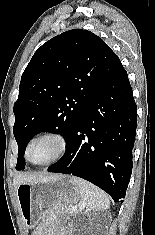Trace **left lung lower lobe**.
Listing matches in <instances>:
<instances>
[{"mask_svg":"<svg viewBox=\"0 0 155 235\" xmlns=\"http://www.w3.org/2000/svg\"><path fill=\"white\" fill-rule=\"evenodd\" d=\"M136 103L120 60L73 129L64 156L48 172L72 174L123 202L132 173Z\"/></svg>","mask_w":155,"mask_h":235,"instance_id":"left-lung-lower-lobe-1","label":"left lung lower lobe"}]
</instances>
